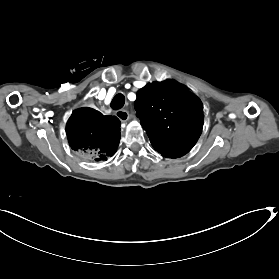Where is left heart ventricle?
<instances>
[{
  "label": "left heart ventricle",
  "mask_w": 279,
  "mask_h": 279,
  "mask_svg": "<svg viewBox=\"0 0 279 279\" xmlns=\"http://www.w3.org/2000/svg\"><path fill=\"white\" fill-rule=\"evenodd\" d=\"M101 79L105 82H109L114 78V69L109 68L105 69L102 72H100Z\"/></svg>",
  "instance_id": "obj_1"
}]
</instances>
